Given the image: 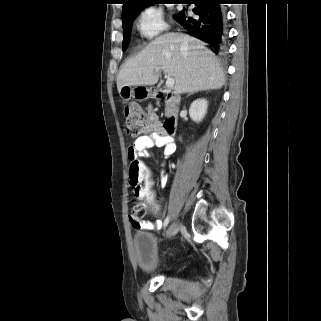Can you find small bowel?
<instances>
[{"label":"small bowel","instance_id":"1","mask_svg":"<svg viewBox=\"0 0 321 321\" xmlns=\"http://www.w3.org/2000/svg\"><path fill=\"white\" fill-rule=\"evenodd\" d=\"M153 146L163 148L165 158L171 157L175 152V144L171 136L167 135L162 128L161 124L154 120L153 131L143 136L138 137L133 145V150L129 148L128 157H132V154L136 157L144 155L148 148ZM167 182V175L165 171L161 173V184L165 185ZM138 205L146 211L144 198H138ZM136 229L145 230H159L162 227V221L156 220L153 222L140 221L138 224H133Z\"/></svg>","mask_w":321,"mask_h":321}]
</instances>
